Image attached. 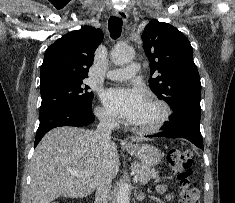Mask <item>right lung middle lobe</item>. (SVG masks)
<instances>
[{"label":"right lung middle lobe","instance_id":"dd1d6c3e","mask_svg":"<svg viewBox=\"0 0 235 203\" xmlns=\"http://www.w3.org/2000/svg\"><path fill=\"white\" fill-rule=\"evenodd\" d=\"M88 90L89 86L83 80H63L40 85V113L64 105L91 108L93 93Z\"/></svg>","mask_w":235,"mask_h":203}]
</instances>
